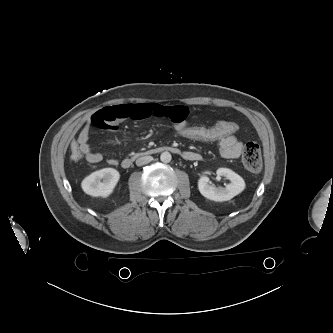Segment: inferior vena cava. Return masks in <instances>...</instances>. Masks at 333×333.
Listing matches in <instances>:
<instances>
[{
	"instance_id": "obj_1",
	"label": "inferior vena cava",
	"mask_w": 333,
	"mask_h": 333,
	"mask_svg": "<svg viewBox=\"0 0 333 333\" xmlns=\"http://www.w3.org/2000/svg\"><path fill=\"white\" fill-rule=\"evenodd\" d=\"M151 161H152L151 156L140 157L136 160V165L137 166H142V165L148 164Z\"/></svg>"
}]
</instances>
